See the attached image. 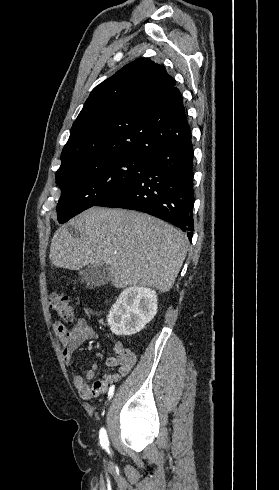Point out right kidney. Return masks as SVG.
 <instances>
[{
	"label": "right kidney",
	"mask_w": 279,
	"mask_h": 490,
	"mask_svg": "<svg viewBox=\"0 0 279 490\" xmlns=\"http://www.w3.org/2000/svg\"><path fill=\"white\" fill-rule=\"evenodd\" d=\"M158 310L157 294L151 288L130 286L121 292L110 308L108 326L115 336H132L141 332L155 318Z\"/></svg>",
	"instance_id": "right-kidney-1"
}]
</instances>
